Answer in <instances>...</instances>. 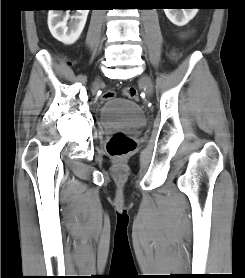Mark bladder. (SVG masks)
Instances as JSON below:
<instances>
[{"label":"bladder","instance_id":"31cf9c89","mask_svg":"<svg viewBox=\"0 0 245 278\" xmlns=\"http://www.w3.org/2000/svg\"><path fill=\"white\" fill-rule=\"evenodd\" d=\"M99 121L102 127L115 126L120 130L133 131L146 125L141 108L123 98H111L103 104Z\"/></svg>","mask_w":245,"mask_h":278}]
</instances>
